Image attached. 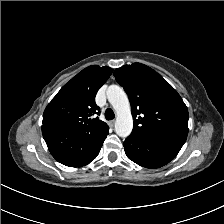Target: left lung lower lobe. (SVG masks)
I'll return each instance as SVG.
<instances>
[{"mask_svg":"<svg viewBox=\"0 0 224 224\" xmlns=\"http://www.w3.org/2000/svg\"><path fill=\"white\" fill-rule=\"evenodd\" d=\"M127 157L146 168H158L169 163L178 154L182 146L132 134L123 143Z\"/></svg>","mask_w":224,"mask_h":224,"instance_id":"1","label":"left lung lower lobe"}]
</instances>
